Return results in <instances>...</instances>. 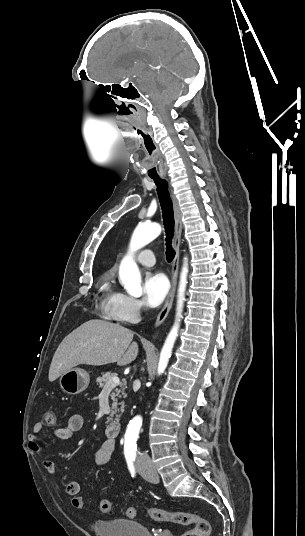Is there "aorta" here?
<instances>
[{
  "instance_id": "762f6f07",
  "label": "aorta",
  "mask_w": 305,
  "mask_h": 536,
  "mask_svg": "<svg viewBox=\"0 0 305 536\" xmlns=\"http://www.w3.org/2000/svg\"><path fill=\"white\" fill-rule=\"evenodd\" d=\"M161 233V226L158 223L139 224L130 241L128 254L122 259L119 267V279L127 293L133 297L142 295L141 275L136 262L133 259L134 253L143 248L148 243L156 239ZM188 259L184 258L183 267L180 274V281L177 295V308L175 323L170 330L165 343L160 352L157 373H164L169 359L172 355V349L178 336L179 323L182 318L183 305L185 301V290L187 285ZM142 425L141 416H135L130 422V426L139 429Z\"/></svg>"
}]
</instances>
